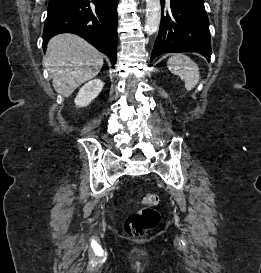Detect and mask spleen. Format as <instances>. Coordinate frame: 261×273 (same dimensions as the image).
I'll return each mask as SVG.
<instances>
[{
	"label": "spleen",
	"instance_id": "1",
	"mask_svg": "<svg viewBox=\"0 0 261 273\" xmlns=\"http://www.w3.org/2000/svg\"><path fill=\"white\" fill-rule=\"evenodd\" d=\"M167 67L171 73L184 81L185 88L191 91L200 80L197 64L184 54H174L167 61Z\"/></svg>",
	"mask_w": 261,
	"mask_h": 273
}]
</instances>
